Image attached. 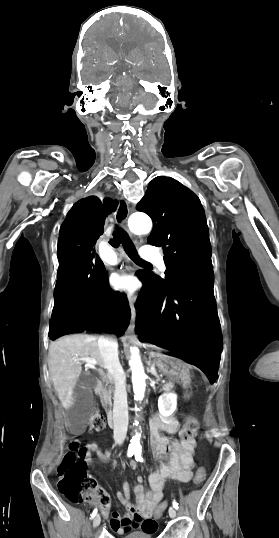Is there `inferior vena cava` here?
Instances as JSON below:
<instances>
[{
    "label": "inferior vena cava",
    "instance_id": "inferior-vena-cava-1",
    "mask_svg": "<svg viewBox=\"0 0 279 538\" xmlns=\"http://www.w3.org/2000/svg\"><path fill=\"white\" fill-rule=\"evenodd\" d=\"M115 335H102L98 339V346L101 356L104 357V368L108 369V374L112 375L116 385L114 409H113V422H114V439L119 444L126 437L127 425H128V411H127V395L125 391L124 379H121L119 371H122V367L119 364L118 352H117V339H114ZM124 373V372H123ZM109 376V378H112Z\"/></svg>",
    "mask_w": 279,
    "mask_h": 538
}]
</instances>
